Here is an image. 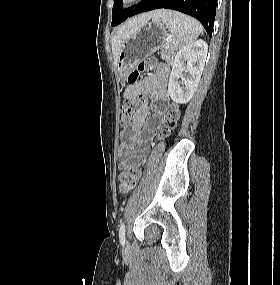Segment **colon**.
Here are the masks:
<instances>
[{
    "instance_id": "obj_1",
    "label": "colon",
    "mask_w": 280,
    "mask_h": 285,
    "mask_svg": "<svg viewBox=\"0 0 280 285\" xmlns=\"http://www.w3.org/2000/svg\"><path fill=\"white\" fill-rule=\"evenodd\" d=\"M159 62L154 59H148L142 61L137 69L132 71L128 76L129 85H135L140 78V75L147 68H152L158 66ZM144 100V95L142 93L137 94L135 97L127 99L120 109V121L122 125L129 124L136 112L139 109L140 103ZM180 118V108L177 104L172 103L168 110L166 111L161 126L160 134L168 135L172 132ZM140 177V170L134 166H127L122 170L119 175V188L123 192H128L133 189Z\"/></svg>"
}]
</instances>
